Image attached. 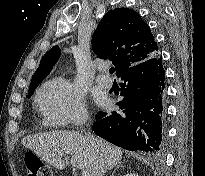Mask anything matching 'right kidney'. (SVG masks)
I'll list each match as a JSON object with an SVG mask.
<instances>
[{"instance_id":"obj_1","label":"right kidney","mask_w":205,"mask_h":176,"mask_svg":"<svg viewBox=\"0 0 205 176\" xmlns=\"http://www.w3.org/2000/svg\"><path fill=\"white\" fill-rule=\"evenodd\" d=\"M124 176H138V175L135 174V173H130V174H126V175H124Z\"/></svg>"}]
</instances>
